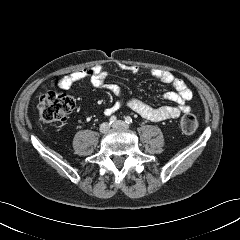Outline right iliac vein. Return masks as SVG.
<instances>
[{"label": "right iliac vein", "mask_w": 240, "mask_h": 240, "mask_svg": "<svg viewBox=\"0 0 240 240\" xmlns=\"http://www.w3.org/2000/svg\"><path fill=\"white\" fill-rule=\"evenodd\" d=\"M110 130V124L105 122L100 125V132L107 133Z\"/></svg>", "instance_id": "1"}]
</instances>
